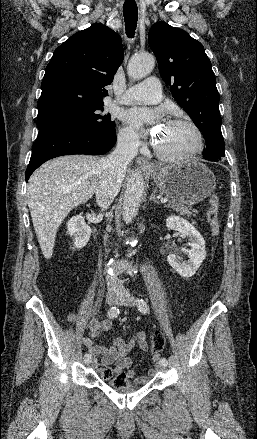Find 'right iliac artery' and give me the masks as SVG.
<instances>
[{"instance_id":"right-iliac-artery-1","label":"right iliac artery","mask_w":257,"mask_h":439,"mask_svg":"<svg viewBox=\"0 0 257 439\" xmlns=\"http://www.w3.org/2000/svg\"><path fill=\"white\" fill-rule=\"evenodd\" d=\"M118 314H119V309L116 306L111 307L108 310V317L111 318V319L116 318L118 316ZM91 358H92V356L89 353H86L84 355L85 361L90 360Z\"/></svg>"}]
</instances>
